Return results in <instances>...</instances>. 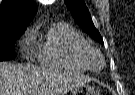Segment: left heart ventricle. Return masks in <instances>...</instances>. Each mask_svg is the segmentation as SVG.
Returning <instances> with one entry per match:
<instances>
[{"label": "left heart ventricle", "mask_w": 135, "mask_h": 95, "mask_svg": "<svg viewBox=\"0 0 135 95\" xmlns=\"http://www.w3.org/2000/svg\"><path fill=\"white\" fill-rule=\"evenodd\" d=\"M99 60L97 59V58H93L92 59V64L94 65V66H98L99 65Z\"/></svg>", "instance_id": "b2bd125f"}]
</instances>
